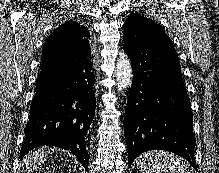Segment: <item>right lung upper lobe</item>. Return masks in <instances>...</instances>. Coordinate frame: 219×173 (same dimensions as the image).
I'll use <instances>...</instances> for the list:
<instances>
[{
  "label": "right lung upper lobe",
  "mask_w": 219,
  "mask_h": 173,
  "mask_svg": "<svg viewBox=\"0 0 219 173\" xmlns=\"http://www.w3.org/2000/svg\"><path fill=\"white\" fill-rule=\"evenodd\" d=\"M89 31L77 22L68 21L51 33L42 48L43 60L56 62L57 65L66 64L72 55H85L91 58L88 41Z\"/></svg>",
  "instance_id": "cb5924a9"
}]
</instances>
